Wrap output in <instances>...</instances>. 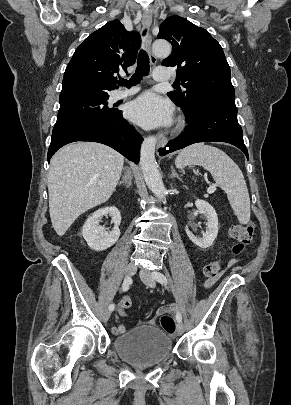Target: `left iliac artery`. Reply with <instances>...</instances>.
Instances as JSON below:
<instances>
[{
  "mask_svg": "<svg viewBox=\"0 0 291 405\" xmlns=\"http://www.w3.org/2000/svg\"><path fill=\"white\" fill-rule=\"evenodd\" d=\"M152 276L159 283L167 285V283H168L167 278L162 273L153 272ZM176 319H177L178 322H182V315H181V313L179 311H177V313H176Z\"/></svg>",
  "mask_w": 291,
  "mask_h": 405,
  "instance_id": "1",
  "label": "left iliac artery"
}]
</instances>
